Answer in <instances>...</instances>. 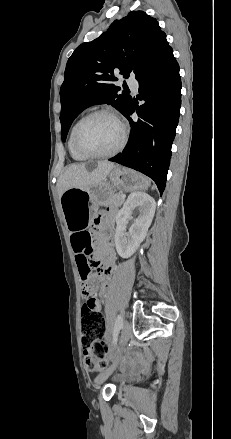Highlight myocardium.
Returning a JSON list of instances; mask_svg holds the SVG:
<instances>
[{
	"instance_id": "1",
	"label": "myocardium",
	"mask_w": 231,
	"mask_h": 439,
	"mask_svg": "<svg viewBox=\"0 0 231 439\" xmlns=\"http://www.w3.org/2000/svg\"><path fill=\"white\" fill-rule=\"evenodd\" d=\"M99 116L110 117L120 125V127H121V140H120L119 144L113 150H111L107 153H101V154L90 153L81 147L78 137H79V133H80L81 129L83 128V126L87 122H89L90 120H92L96 117H99ZM127 136H128L127 127H126L125 123L123 122V120L119 117V115L111 110H108V109H100V110H96V111H93V112L87 114L76 124L74 131H73V134H72V143H73L74 149L79 154H81L82 156H84L87 159H106V158H111V157L117 155L119 152H121L123 150V148L125 147V145L127 143Z\"/></svg>"
}]
</instances>
